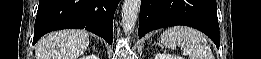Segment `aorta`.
Returning <instances> with one entry per match:
<instances>
[{
    "instance_id": "aorta-1",
    "label": "aorta",
    "mask_w": 261,
    "mask_h": 59,
    "mask_svg": "<svg viewBox=\"0 0 261 59\" xmlns=\"http://www.w3.org/2000/svg\"><path fill=\"white\" fill-rule=\"evenodd\" d=\"M141 0H124L121 17L122 28L125 34L129 35L133 32L139 12Z\"/></svg>"
}]
</instances>
